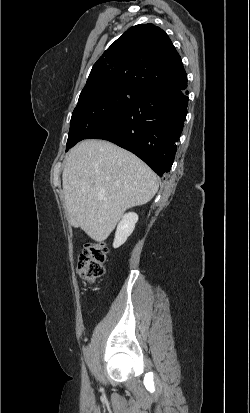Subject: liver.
Returning <instances> with one entry per match:
<instances>
[{"instance_id": "liver-1", "label": "liver", "mask_w": 250, "mask_h": 413, "mask_svg": "<svg viewBox=\"0 0 250 413\" xmlns=\"http://www.w3.org/2000/svg\"><path fill=\"white\" fill-rule=\"evenodd\" d=\"M63 194L72 226L102 242L129 208L149 202L156 174L131 152L105 140H84L66 157Z\"/></svg>"}]
</instances>
